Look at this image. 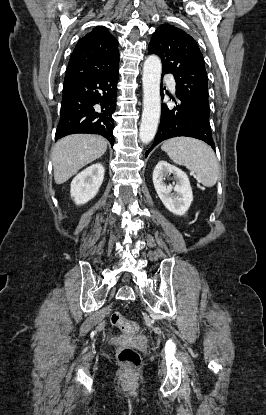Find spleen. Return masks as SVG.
<instances>
[{
  "mask_svg": "<svg viewBox=\"0 0 266 415\" xmlns=\"http://www.w3.org/2000/svg\"><path fill=\"white\" fill-rule=\"evenodd\" d=\"M161 149L170 159L184 165L195 174L196 180L205 187H213L220 169L214 151L206 143L189 137H177L163 143Z\"/></svg>",
  "mask_w": 266,
  "mask_h": 415,
  "instance_id": "3e777b00",
  "label": "spleen"
}]
</instances>
